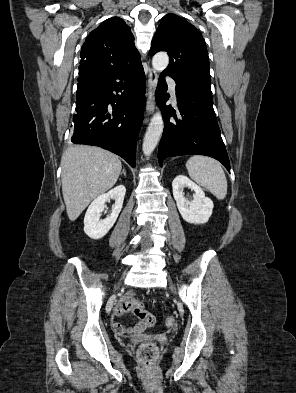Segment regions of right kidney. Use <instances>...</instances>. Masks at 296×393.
Instances as JSON below:
<instances>
[{
	"label": "right kidney",
	"instance_id": "right-kidney-1",
	"mask_svg": "<svg viewBox=\"0 0 296 393\" xmlns=\"http://www.w3.org/2000/svg\"><path fill=\"white\" fill-rule=\"evenodd\" d=\"M126 193V188L119 185L110 190L106 194L98 196L88 207L84 217V232L91 239H101L115 224L119 213L123 206V200ZM114 199L115 204L112 207L110 216L101 220L100 216L105 208V202Z\"/></svg>",
	"mask_w": 296,
	"mask_h": 393
}]
</instances>
